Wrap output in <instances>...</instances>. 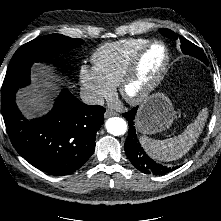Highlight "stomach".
<instances>
[{
  "label": "stomach",
  "instance_id": "0dacf381",
  "mask_svg": "<svg viewBox=\"0 0 221 221\" xmlns=\"http://www.w3.org/2000/svg\"><path fill=\"white\" fill-rule=\"evenodd\" d=\"M175 119V111L169 98L162 92L148 96L136 116L137 129L143 134H155L167 130Z\"/></svg>",
  "mask_w": 221,
  "mask_h": 221
}]
</instances>
